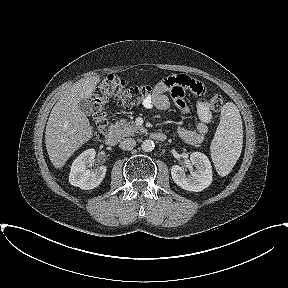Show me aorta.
Here are the masks:
<instances>
[{
    "mask_svg": "<svg viewBox=\"0 0 288 288\" xmlns=\"http://www.w3.org/2000/svg\"><path fill=\"white\" fill-rule=\"evenodd\" d=\"M155 147V144L152 140L147 139L142 142L141 148L145 152H151Z\"/></svg>",
    "mask_w": 288,
    "mask_h": 288,
    "instance_id": "obj_1",
    "label": "aorta"
}]
</instances>
